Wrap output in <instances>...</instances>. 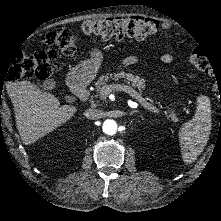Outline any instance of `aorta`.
Wrapping results in <instances>:
<instances>
[{
	"instance_id": "1",
	"label": "aorta",
	"mask_w": 221,
	"mask_h": 221,
	"mask_svg": "<svg viewBox=\"0 0 221 221\" xmlns=\"http://www.w3.org/2000/svg\"><path fill=\"white\" fill-rule=\"evenodd\" d=\"M103 132L107 135H113L117 131V123L112 119H107L102 125Z\"/></svg>"
}]
</instances>
